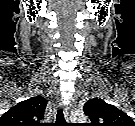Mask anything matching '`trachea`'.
Masks as SVG:
<instances>
[{"instance_id": "1", "label": "trachea", "mask_w": 135, "mask_h": 126, "mask_svg": "<svg viewBox=\"0 0 135 126\" xmlns=\"http://www.w3.org/2000/svg\"><path fill=\"white\" fill-rule=\"evenodd\" d=\"M64 123H65V119H64L63 109L60 108L56 115V124L61 125Z\"/></svg>"}]
</instances>
